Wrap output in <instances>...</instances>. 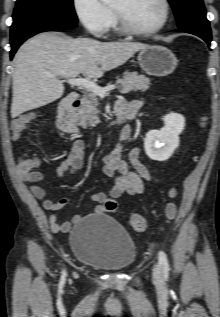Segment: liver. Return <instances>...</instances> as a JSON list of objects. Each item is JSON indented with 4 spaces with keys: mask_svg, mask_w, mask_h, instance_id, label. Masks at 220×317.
I'll list each match as a JSON object with an SVG mask.
<instances>
[{
    "mask_svg": "<svg viewBox=\"0 0 220 317\" xmlns=\"http://www.w3.org/2000/svg\"><path fill=\"white\" fill-rule=\"evenodd\" d=\"M146 47L137 42L72 39L49 32L32 37L14 57L12 118L61 98L64 86L58 77L84 74L100 78Z\"/></svg>",
    "mask_w": 220,
    "mask_h": 317,
    "instance_id": "liver-1",
    "label": "liver"
}]
</instances>
